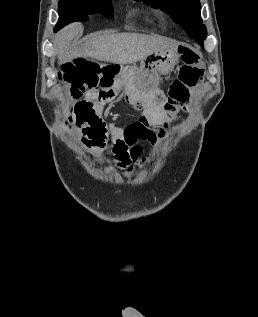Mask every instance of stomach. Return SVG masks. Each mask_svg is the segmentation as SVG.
Returning <instances> with one entry per match:
<instances>
[{"label":"stomach","instance_id":"1","mask_svg":"<svg viewBox=\"0 0 258 317\" xmlns=\"http://www.w3.org/2000/svg\"><path fill=\"white\" fill-rule=\"evenodd\" d=\"M180 58L179 46L171 48V50H156L151 52L145 58H142L140 66L131 62L122 66V70H133L139 76H150L152 72H160V74H168L170 70H173Z\"/></svg>","mask_w":258,"mask_h":317}]
</instances>
